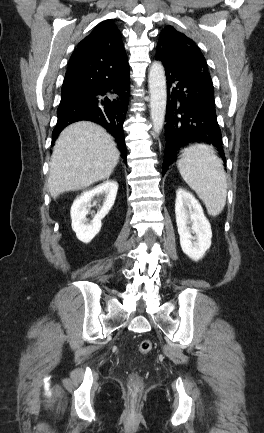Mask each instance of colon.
<instances>
[{"label":"colon","mask_w":264,"mask_h":433,"mask_svg":"<svg viewBox=\"0 0 264 433\" xmlns=\"http://www.w3.org/2000/svg\"><path fill=\"white\" fill-rule=\"evenodd\" d=\"M152 348H153L152 342L147 339L142 340L138 345V351L142 355L150 353ZM133 381L136 385L139 383V380L136 376L133 378Z\"/></svg>","instance_id":"colon-1"}]
</instances>
